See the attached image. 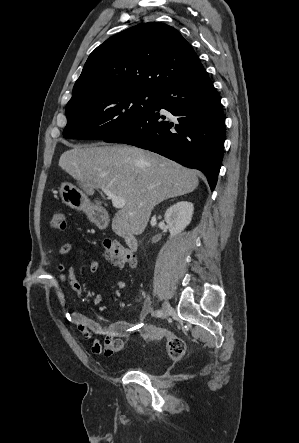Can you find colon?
<instances>
[{
  "label": "colon",
  "instance_id": "obj_1",
  "mask_svg": "<svg viewBox=\"0 0 299 443\" xmlns=\"http://www.w3.org/2000/svg\"><path fill=\"white\" fill-rule=\"evenodd\" d=\"M51 227L54 230L66 229V218L62 211L54 212L51 219ZM104 254L108 261L118 267L132 266L135 264V256L131 248L117 239H106L103 244ZM138 334L147 340H166L169 356L174 360L181 359L186 351L185 341L169 330L153 325H142Z\"/></svg>",
  "mask_w": 299,
  "mask_h": 443
}]
</instances>
